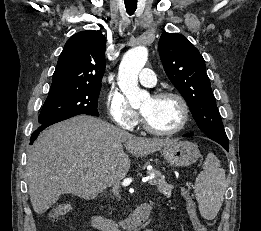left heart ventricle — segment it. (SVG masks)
<instances>
[{
    "instance_id": "left-heart-ventricle-1",
    "label": "left heart ventricle",
    "mask_w": 261,
    "mask_h": 231,
    "mask_svg": "<svg viewBox=\"0 0 261 231\" xmlns=\"http://www.w3.org/2000/svg\"><path fill=\"white\" fill-rule=\"evenodd\" d=\"M153 127L169 131L179 126L182 119L181 107L174 98L153 99L149 97L140 107Z\"/></svg>"
}]
</instances>
